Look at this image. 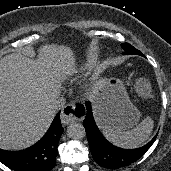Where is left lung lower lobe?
<instances>
[{"label": "left lung lower lobe", "instance_id": "left-lung-lower-lobe-1", "mask_svg": "<svg viewBox=\"0 0 171 171\" xmlns=\"http://www.w3.org/2000/svg\"><path fill=\"white\" fill-rule=\"evenodd\" d=\"M85 127L94 160L102 167L115 170L125 167L143 156L155 141L157 135L146 145L137 149H121L109 143L95 124L90 102H86Z\"/></svg>", "mask_w": 171, "mask_h": 171}]
</instances>
